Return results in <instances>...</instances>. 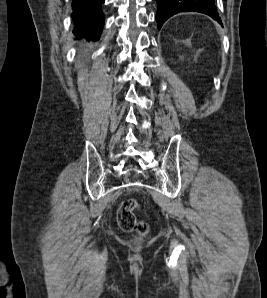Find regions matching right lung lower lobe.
Instances as JSON below:
<instances>
[{
    "instance_id": "right-lung-lower-lobe-1",
    "label": "right lung lower lobe",
    "mask_w": 267,
    "mask_h": 298,
    "mask_svg": "<svg viewBox=\"0 0 267 298\" xmlns=\"http://www.w3.org/2000/svg\"><path fill=\"white\" fill-rule=\"evenodd\" d=\"M104 0H73L72 18L75 22L73 33L85 39L96 41L104 25L101 4Z\"/></svg>"
}]
</instances>
